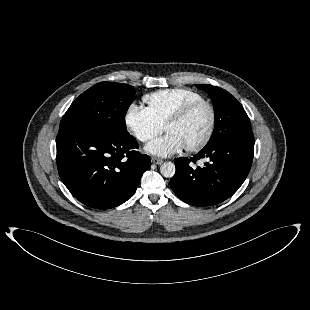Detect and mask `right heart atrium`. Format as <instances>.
Listing matches in <instances>:
<instances>
[{"instance_id": "1", "label": "right heart atrium", "mask_w": 310, "mask_h": 310, "mask_svg": "<svg viewBox=\"0 0 310 310\" xmlns=\"http://www.w3.org/2000/svg\"><path fill=\"white\" fill-rule=\"evenodd\" d=\"M124 123L127 130L140 142H148L162 131V126L149 111L135 103L128 106Z\"/></svg>"}]
</instances>
